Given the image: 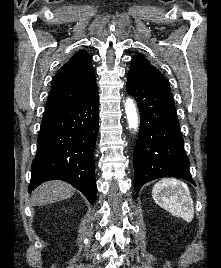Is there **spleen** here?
Listing matches in <instances>:
<instances>
[{
    "label": "spleen",
    "instance_id": "3e777b00",
    "mask_svg": "<svg viewBox=\"0 0 221 268\" xmlns=\"http://www.w3.org/2000/svg\"><path fill=\"white\" fill-rule=\"evenodd\" d=\"M154 201L173 216L191 222L194 205L188 186L175 178H164L152 190Z\"/></svg>",
    "mask_w": 221,
    "mask_h": 268
}]
</instances>
